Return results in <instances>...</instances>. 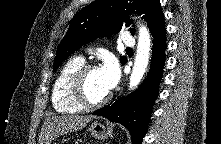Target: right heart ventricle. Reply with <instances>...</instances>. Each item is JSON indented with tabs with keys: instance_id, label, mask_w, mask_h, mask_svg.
<instances>
[{
	"instance_id": "e07e8e85",
	"label": "right heart ventricle",
	"mask_w": 221,
	"mask_h": 144,
	"mask_svg": "<svg viewBox=\"0 0 221 144\" xmlns=\"http://www.w3.org/2000/svg\"><path fill=\"white\" fill-rule=\"evenodd\" d=\"M84 64L82 57L69 59L59 71L52 89V104L54 109L62 114H73L83 108L76 104L70 94V82L76 71Z\"/></svg>"
}]
</instances>
